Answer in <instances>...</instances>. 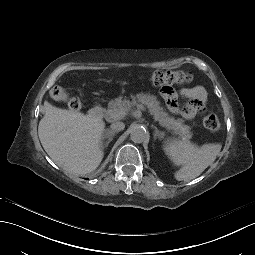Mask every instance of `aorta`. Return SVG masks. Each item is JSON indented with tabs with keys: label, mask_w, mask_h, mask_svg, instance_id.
<instances>
[{
	"label": "aorta",
	"mask_w": 255,
	"mask_h": 255,
	"mask_svg": "<svg viewBox=\"0 0 255 255\" xmlns=\"http://www.w3.org/2000/svg\"><path fill=\"white\" fill-rule=\"evenodd\" d=\"M130 137H131V140L134 143H142V142H144V140L147 137L145 128H143L141 126L133 127L131 132H130Z\"/></svg>",
	"instance_id": "1"
}]
</instances>
